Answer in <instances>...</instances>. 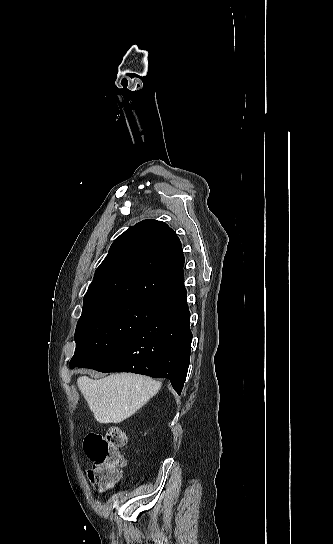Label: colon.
<instances>
[{"label": "colon", "mask_w": 333, "mask_h": 544, "mask_svg": "<svg viewBox=\"0 0 333 544\" xmlns=\"http://www.w3.org/2000/svg\"><path fill=\"white\" fill-rule=\"evenodd\" d=\"M126 442V433L117 426H110L104 434L90 433L85 438L84 451L93 464L88 477L94 485L105 489L119 481L125 466L121 449Z\"/></svg>", "instance_id": "obj_1"}]
</instances>
